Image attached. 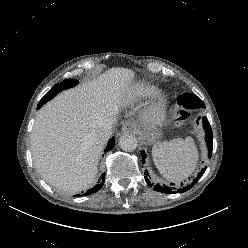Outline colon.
I'll use <instances>...</instances> for the list:
<instances>
[{"instance_id":"colon-1","label":"colon","mask_w":248,"mask_h":248,"mask_svg":"<svg viewBox=\"0 0 248 248\" xmlns=\"http://www.w3.org/2000/svg\"><path fill=\"white\" fill-rule=\"evenodd\" d=\"M188 116H189L188 113L182 112V114H181V119H185V118H187Z\"/></svg>"}]
</instances>
